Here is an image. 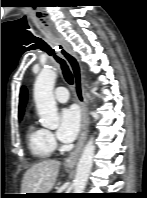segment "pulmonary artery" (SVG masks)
Segmentation results:
<instances>
[{
    "label": "pulmonary artery",
    "instance_id": "1",
    "mask_svg": "<svg viewBox=\"0 0 147 198\" xmlns=\"http://www.w3.org/2000/svg\"><path fill=\"white\" fill-rule=\"evenodd\" d=\"M54 98L60 103H65L69 99V92L65 87H57L54 91Z\"/></svg>",
    "mask_w": 147,
    "mask_h": 198
}]
</instances>
